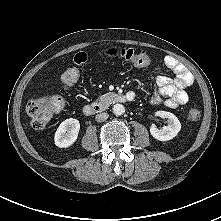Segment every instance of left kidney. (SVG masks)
I'll use <instances>...</instances> for the list:
<instances>
[{
	"label": "left kidney",
	"mask_w": 221,
	"mask_h": 221,
	"mask_svg": "<svg viewBox=\"0 0 221 221\" xmlns=\"http://www.w3.org/2000/svg\"><path fill=\"white\" fill-rule=\"evenodd\" d=\"M155 115L168 119V126H164L162 129L156 128L155 125L151 126L150 133L155 139L159 141H168L173 139L180 132V121L173 113L167 111H157Z\"/></svg>",
	"instance_id": "left-kidney-1"
}]
</instances>
